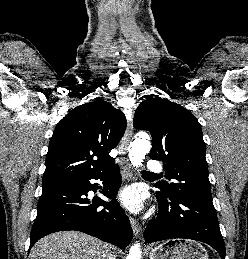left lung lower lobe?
Segmentation results:
<instances>
[{"instance_id":"obj_1","label":"left lung lower lobe","mask_w":248,"mask_h":259,"mask_svg":"<svg viewBox=\"0 0 248 259\" xmlns=\"http://www.w3.org/2000/svg\"><path fill=\"white\" fill-rule=\"evenodd\" d=\"M159 212L145 232L146 243L186 238L205 242L225 259V245L212 200L165 197L157 191Z\"/></svg>"}]
</instances>
